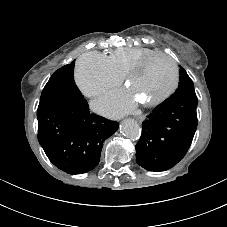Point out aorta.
Segmentation results:
<instances>
[{
    "mask_svg": "<svg viewBox=\"0 0 227 227\" xmlns=\"http://www.w3.org/2000/svg\"><path fill=\"white\" fill-rule=\"evenodd\" d=\"M121 133L131 139L137 140L141 135V128L139 124L131 118L125 119L120 126Z\"/></svg>",
    "mask_w": 227,
    "mask_h": 227,
    "instance_id": "1",
    "label": "aorta"
}]
</instances>
